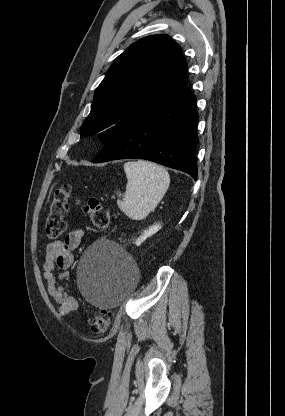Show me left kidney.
<instances>
[{"instance_id":"5707ae66","label":"left kidney","mask_w":285,"mask_h":416,"mask_svg":"<svg viewBox=\"0 0 285 416\" xmlns=\"http://www.w3.org/2000/svg\"><path fill=\"white\" fill-rule=\"evenodd\" d=\"M160 228H162L160 224H155V226H150V228H148V230H145L144 234H142L140 238H137V240H135L136 246H141L142 242H145L146 238H150V236H153V234H156V232H159Z\"/></svg>"}]
</instances>
